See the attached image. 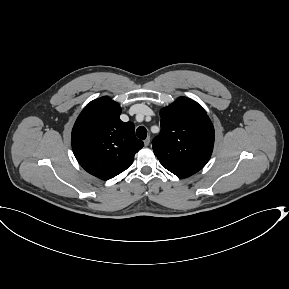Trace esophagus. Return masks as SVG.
Segmentation results:
<instances>
[{
	"label": "esophagus",
	"mask_w": 289,
	"mask_h": 289,
	"mask_svg": "<svg viewBox=\"0 0 289 289\" xmlns=\"http://www.w3.org/2000/svg\"><path fill=\"white\" fill-rule=\"evenodd\" d=\"M150 144V137H147L145 140H144V145L145 146H148Z\"/></svg>",
	"instance_id": "1"
}]
</instances>
